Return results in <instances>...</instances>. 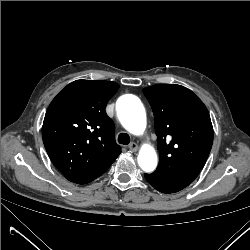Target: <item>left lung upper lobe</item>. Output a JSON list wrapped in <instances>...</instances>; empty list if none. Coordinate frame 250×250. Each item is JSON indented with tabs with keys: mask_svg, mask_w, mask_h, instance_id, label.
Returning a JSON list of instances; mask_svg holds the SVG:
<instances>
[{
	"mask_svg": "<svg viewBox=\"0 0 250 250\" xmlns=\"http://www.w3.org/2000/svg\"><path fill=\"white\" fill-rule=\"evenodd\" d=\"M143 92L154 113L160 153L157 170H201L213 143V127L203 102L176 84H157Z\"/></svg>",
	"mask_w": 250,
	"mask_h": 250,
	"instance_id": "1",
	"label": "left lung upper lobe"
}]
</instances>
